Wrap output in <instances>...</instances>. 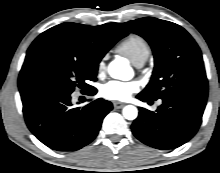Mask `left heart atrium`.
<instances>
[{"label":"left heart atrium","mask_w":220,"mask_h":173,"mask_svg":"<svg viewBox=\"0 0 220 173\" xmlns=\"http://www.w3.org/2000/svg\"><path fill=\"white\" fill-rule=\"evenodd\" d=\"M137 90L138 84L134 81L123 82L112 80L103 84L100 92L105 99L125 101Z\"/></svg>","instance_id":"left-heart-atrium-1"}]
</instances>
